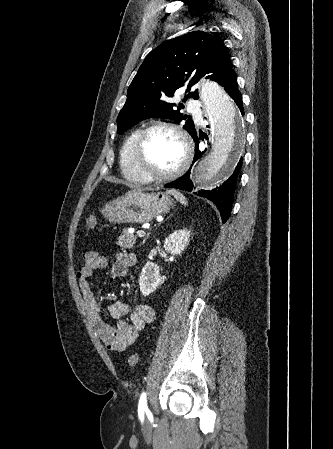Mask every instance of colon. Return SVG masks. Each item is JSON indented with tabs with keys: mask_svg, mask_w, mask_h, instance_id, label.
I'll list each match as a JSON object with an SVG mask.
<instances>
[{
	"mask_svg": "<svg viewBox=\"0 0 333 449\" xmlns=\"http://www.w3.org/2000/svg\"><path fill=\"white\" fill-rule=\"evenodd\" d=\"M97 224V217L95 215H91L86 219L85 227L87 230L93 229ZM139 361V356L137 354H131L128 357L127 363L130 368H134L137 366Z\"/></svg>",
	"mask_w": 333,
	"mask_h": 449,
	"instance_id": "colon-1",
	"label": "colon"
}]
</instances>
